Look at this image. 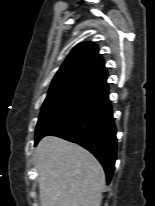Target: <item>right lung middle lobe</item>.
<instances>
[{"label": "right lung middle lobe", "instance_id": "obj_1", "mask_svg": "<svg viewBox=\"0 0 155 206\" xmlns=\"http://www.w3.org/2000/svg\"><path fill=\"white\" fill-rule=\"evenodd\" d=\"M107 94L73 87L50 90L42 105L35 141L101 103Z\"/></svg>", "mask_w": 155, "mask_h": 206}]
</instances>
